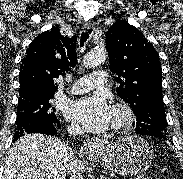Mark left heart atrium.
<instances>
[{
  "label": "left heart atrium",
  "mask_w": 183,
  "mask_h": 179,
  "mask_svg": "<svg viewBox=\"0 0 183 179\" xmlns=\"http://www.w3.org/2000/svg\"><path fill=\"white\" fill-rule=\"evenodd\" d=\"M112 109L101 95H93L73 101L68 107V117L90 132L105 131L111 123Z\"/></svg>",
  "instance_id": "left-heart-atrium-1"
}]
</instances>
